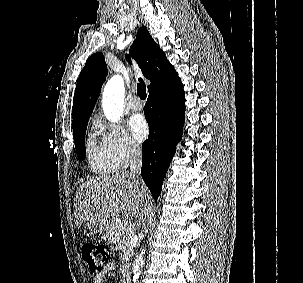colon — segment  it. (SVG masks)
Segmentation results:
<instances>
[{"instance_id":"colon-1","label":"colon","mask_w":303,"mask_h":283,"mask_svg":"<svg viewBox=\"0 0 303 283\" xmlns=\"http://www.w3.org/2000/svg\"><path fill=\"white\" fill-rule=\"evenodd\" d=\"M82 257L92 272H100L110 259V249L104 244L87 243L82 249Z\"/></svg>"}]
</instances>
